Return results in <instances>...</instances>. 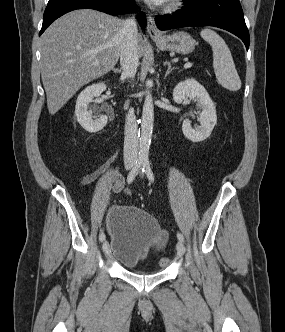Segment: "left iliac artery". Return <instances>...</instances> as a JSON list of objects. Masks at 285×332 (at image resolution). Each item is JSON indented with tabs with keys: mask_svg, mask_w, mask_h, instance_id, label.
Wrapping results in <instances>:
<instances>
[{
	"mask_svg": "<svg viewBox=\"0 0 285 332\" xmlns=\"http://www.w3.org/2000/svg\"><path fill=\"white\" fill-rule=\"evenodd\" d=\"M142 171L146 173L148 179L154 183V174L152 172V169H151V166H150V163L149 161H144L143 162V168H142ZM177 238L179 239V241L181 242H184V236L181 234V233H177Z\"/></svg>",
	"mask_w": 285,
	"mask_h": 332,
	"instance_id": "44dca946",
	"label": "left iliac artery"
}]
</instances>
